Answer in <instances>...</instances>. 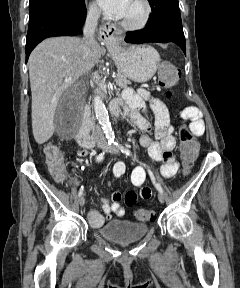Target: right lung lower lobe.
<instances>
[{"label": "right lung lower lobe", "instance_id": "obj_1", "mask_svg": "<svg viewBox=\"0 0 240 288\" xmlns=\"http://www.w3.org/2000/svg\"><path fill=\"white\" fill-rule=\"evenodd\" d=\"M86 18L84 1L78 7H54L29 20L26 39V62L31 51L43 39L74 36L81 32Z\"/></svg>", "mask_w": 240, "mask_h": 288}]
</instances>
